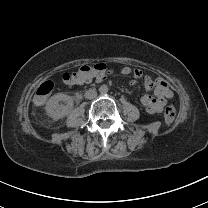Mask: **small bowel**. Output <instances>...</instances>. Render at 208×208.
<instances>
[{
	"mask_svg": "<svg viewBox=\"0 0 208 208\" xmlns=\"http://www.w3.org/2000/svg\"><path fill=\"white\" fill-rule=\"evenodd\" d=\"M121 73L123 75H132L133 80L131 81L132 85H135L138 80H142L143 84L145 85L146 88L148 89H154V95H145L141 99L142 105L145 107L146 111L149 114H155V113H160L167 100L171 99L173 97V92L169 88L167 82L161 78V77H150L148 75H145L141 69H132L130 67H124L121 70ZM113 71L112 70H107L106 72H102L101 74L98 75L97 81H105L108 77L113 76ZM92 79H72L69 81V86L72 88H80L82 86L87 87L90 85V81Z\"/></svg>",
	"mask_w": 208,
	"mask_h": 208,
	"instance_id": "c3829d8e",
	"label": "small bowel"
}]
</instances>
